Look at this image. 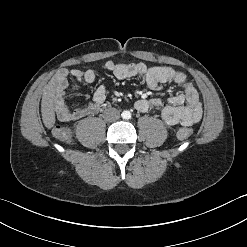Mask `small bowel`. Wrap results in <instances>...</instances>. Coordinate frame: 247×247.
I'll return each mask as SVG.
<instances>
[{
	"label": "small bowel",
	"instance_id": "obj_1",
	"mask_svg": "<svg viewBox=\"0 0 247 247\" xmlns=\"http://www.w3.org/2000/svg\"><path fill=\"white\" fill-rule=\"evenodd\" d=\"M104 70L118 80L138 77L152 90L161 89L163 84L175 83L183 91L172 96L164 104L160 99L141 98L136 101L137 111L146 113L156 110L168 125L181 124L191 126L196 124L202 116V105L196 88L187 80L186 75L175 68L168 66L148 67L143 63H115L107 61ZM94 69H62L53 80V105L58 120L63 122L76 121L86 116L98 113L106 99V88L100 85L96 88L91 102L71 110L65 102V92L68 87V78L72 77L77 83H92L96 78Z\"/></svg>",
	"mask_w": 247,
	"mask_h": 247
}]
</instances>
